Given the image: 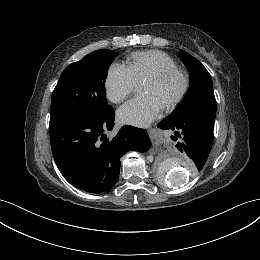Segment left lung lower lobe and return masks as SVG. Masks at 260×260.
Here are the masks:
<instances>
[{"instance_id":"left-lung-lower-lobe-1","label":"left lung lower lobe","mask_w":260,"mask_h":260,"mask_svg":"<svg viewBox=\"0 0 260 260\" xmlns=\"http://www.w3.org/2000/svg\"><path fill=\"white\" fill-rule=\"evenodd\" d=\"M158 127L164 130H173V140H178L176 147L194 162V168L199 171L207 161L213 144L214 121L196 115H187L174 118L168 116Z\"/></svg>"}]
</instances>
